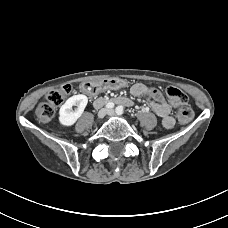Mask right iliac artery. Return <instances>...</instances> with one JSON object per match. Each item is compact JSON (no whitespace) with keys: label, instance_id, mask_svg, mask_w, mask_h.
Wrapping results in <instances>:
<instances>
[{"label":"right iliac artery","instance_id":"obj_1","mask_svg":"<svg viewBox=\"0 0 228 228\" xmlns=\"http://www.w3.org/2000/svg\"><path fill=\"white\" fill-rule=\"evenodd\" d=\"M114 107V103L113 102H109L106 104V108L108 109H112Z\"/></svg>","mask_w":228,"mask_h":228}]
</instances>
